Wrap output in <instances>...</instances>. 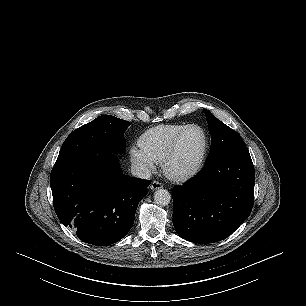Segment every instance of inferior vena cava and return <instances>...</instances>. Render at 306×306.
Here are the masks:
<instances>
[{"mask_svg":"<svg viewBox=\"0 0 306 306\" xmlns=\"http://www.w3.org/2000/svg\"><path fill=\"white\" fill-rule=\"evenodd\" d=\"M131 174L138 178L148 179L151 176V171L140 163L131 165Z\"/></svg>","mask_w":306,"mask_h":306,"instance_id":"1","label":"inferior vena cava"}]
</instances>
